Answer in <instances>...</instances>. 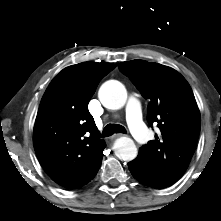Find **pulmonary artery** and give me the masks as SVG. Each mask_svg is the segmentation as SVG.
<instances>
[{
    "instance_id": "e3ab8cb5",
    "label": "pulmonary artery",
    "mask_w": 221,
    "mask_h": 221,
    "mask_svg": "<svg viewBox=\"0 0 221 221\" xmlns=\"http://www.w3.org/2000/svg\"><path fill=\"white\" fill-rule=\"evenodd\" d=\"M127 116L129 128L134 138L140 143H146L150 134L141 119L140 102L134 96H131L127 102Z\"/></svg>"
}]
</instances>
